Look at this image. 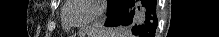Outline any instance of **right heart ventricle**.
<instances>
[{
    "mask_svg": "<svg viewBox=\"0 0 219 37\" xmlns=\"http://www.w3.org/2000/svg\"><path fill=\"white\" fill-rule=\"evenodd\" d=\"M64 24H65V28H69V26H67L65 22H64Z\"/></svg>",
    "mask_w": 219,
    "mask_h": 37,
    "instance_id": "obj_1",
    "label": "right heart ventricle"
}]
</instances>
